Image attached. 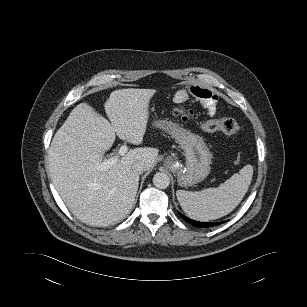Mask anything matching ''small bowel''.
<instances>
[{
	"mask_svg": "<svg viewBox=\"0 0 307 307\" xmlns=\"http://www.w3.org/2000/svg\"><path fill=\"white\" fill-rule=\"evenodd\" d=\"M191 97H194L198 101L205 105L209 114H213L215 111V96L207 88L197 85H191L178 90L174 96L177 103H186Z\"/></svg>",
	"mask_w": 307,
	"mask_h": 307,
	"instance_id": "c3829d8e",
	"label": "small bowel"
}]
</instances>
